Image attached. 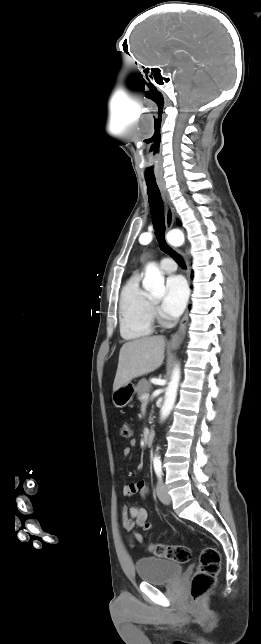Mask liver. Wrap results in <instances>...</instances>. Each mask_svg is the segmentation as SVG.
Returning <instances> with one entry per match:
<instances>
[{
  "instance_id": "1",
  "label": "liver",
  "mask_w": 261,
  "mask_h": 644,
  "mask_svg": "<svg viewBox=\"0 0 261 644\" xmlns=\"http://www.w3.org/2000/svg\"><path fill=\"white\" fill-rule=\"evenodd\" d=\"M165 339L152 336L126 342L120 349L113 391L132 379L149 374L159 368L164 360Z\"/></svg>"
}]
</instances>
